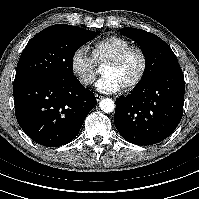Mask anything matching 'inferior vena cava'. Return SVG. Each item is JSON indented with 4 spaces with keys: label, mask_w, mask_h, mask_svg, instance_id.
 Wrapping results in <instances>:
<instances>
[{
    "label": "inferior vena cava",
    "mask_w": 199,
    "mask_h": 199,
    "mask_svg": "<svg viewBox=\"0 0 199 199\" xmlns=\"http://www.w3.org/2000/svg\"><path fill=\"white\" fill-rule=\"evenodd\" d=\"M85 83H86V84L92 83V80H91V79H86V80H85Z\"/></svg>",
    "instance_id": "inferior-vena-cava-1"
}]
</instances>
